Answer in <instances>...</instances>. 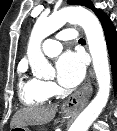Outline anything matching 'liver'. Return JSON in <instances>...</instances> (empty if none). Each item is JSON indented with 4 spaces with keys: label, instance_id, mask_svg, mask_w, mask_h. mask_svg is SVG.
Wrapping results in <instances>:
<instances>
[{
    "label": "liver",
    "instance_id": "liver-1",
    "mask_svg": "<svg viewBox=\"0 0 117 131\" xmlns=\"http://www.w3.org/2000/svg\"><path fill=\"white\" fill-rule=\"evenodd\" d=\"M57 111V106H30L18 110L11 121V128L23 127L27 124L42 125L53 120Z\"/></svg>",
    "mask_w": 117,
    "mask_h": 131
}]
</instances>
